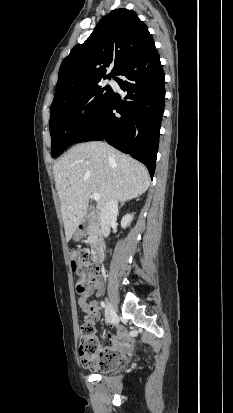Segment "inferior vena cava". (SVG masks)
Masks as SVG:
<instances>
[{
	"label": "inferior vena cava",
	"mask_w": 233,
	"mask_h": 413,
	"mask_svg": "<svg viewBox=\"0 0 233 413\" xmlns=\"http://www.w3.org/2000/svg\"><path fill=\"white\" fill-rule=\"evenodd\" d=\"M118 212V200L114 197L110 198L104 207L100 210V225L102 233L107 237L110 233V223L114 214Z\"/></svg>",
	"instance_id": "inferior-vena-cava-1"
}]
</instances>
